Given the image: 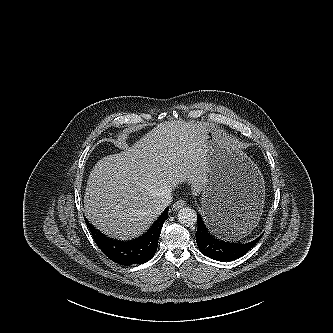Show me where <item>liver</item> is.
I'll return each mask as SVG.
<instances>
[{
  "instance_id": "obj_1",
  "label": "liver",
  "mask_w": 333,
  "mask_h": 333,
  "mask_svg": "<svg viewBox=\"0 0 333 333\" xmlns=\"http://www.w3.org/2000/svg\"><path fill=\"white\" fill-rule=\"evenodd\" d=\"M207 123L181 119L158 124L131 147L93 167L84 213L105 235L127 240L141 235L160 215L165 192L188 182L193 194L206 184Z\"/></svg>"
}]
</instances>
